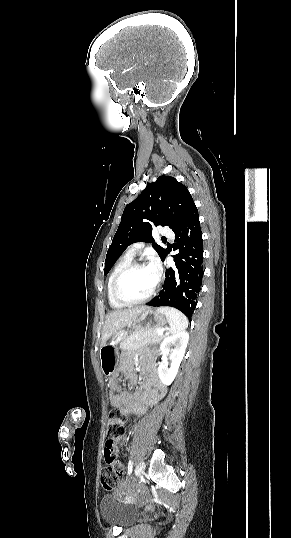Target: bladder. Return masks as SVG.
<instances>
[{"label": "bladder", "instance_id": "31cf9c89", "mask_svg": "<svg viewBox=\"0 0 291 538\" xmlns=\"http://www.w3.org/2000/svg\"><path fill=\"white\" fill-rule=\"evenodd\" d=\"M100 513L102 518L120 527H126L138 516V509L124 504L113 495H106L100 502Z\"/></svg>", "mask_w": 291, "mask_h": 538}]
</instances>
